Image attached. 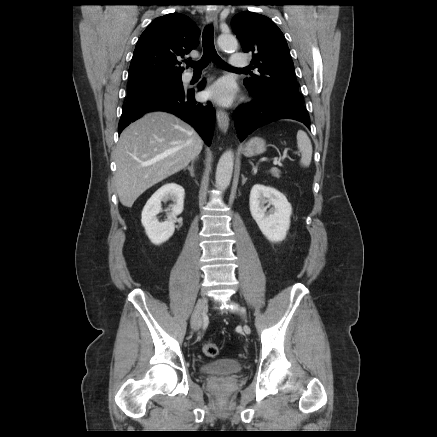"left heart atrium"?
Instances as JSON below:
<instances>
[{"mask_svg":"<svg viewBox=\"0 0 437 437\" xmlns=\"http://www.w3.org/2000/svg\"><path fill=\"white\" fill-rule=\"evenodd\" d=\"M235 94V86L229 80H219L205 92L207 98L224 106L233 102Z\"/></svg>","mask_w":437,"mask_h":437,"instance_id":"obj_1","label":"left heart atrium"}]
</instances>
